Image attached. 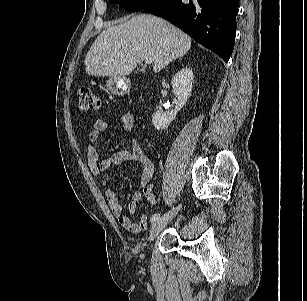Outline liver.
<instances>
[{"mask_svg":"<svg viewBox=\"0 0 307 301\" xmlns=\"http://www.w3.org/2000/svg\"><path fill=\"white\" fill-rule=\"evenodd\" d=\"M190 47L191 38L171 23L152 15H136L97 37L85 57L86 73L125 77L145 57L153 59V71L158 73Z\"/></svg>","mask_w":307,"mask_h":301,"instance_id":"1","label":"liver"}]
</instances>
